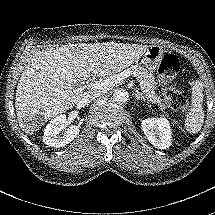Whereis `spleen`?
<instances>
[{
  "label": "spleen",
  "instance_id": "1",
  "mask_svg": "<svg viewBox=\"0 0 215 215\" xmlns=\"http://www.w3.org/2000/svg\"><path fill=\"white\" fill-rule=\"evenodd\" d=\"M203 97L201 85L195 82L192 87V108L185 119V127L189 133H198L202 128L204 121Z\"/></svg>",
  "mask_w": 215,
  "mask_h": 215
}]
</instances>
